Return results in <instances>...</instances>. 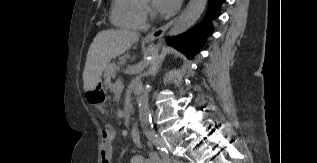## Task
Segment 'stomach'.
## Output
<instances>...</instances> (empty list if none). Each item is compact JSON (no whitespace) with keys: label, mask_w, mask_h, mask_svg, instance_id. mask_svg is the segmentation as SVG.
Wrapping results in <instances>:
<instances>
[{"label":"stomach","mask_w":317,"mask_h":163,"mask_svg":"<svg viewBox=\"0 0 317 163\" xmlns=\"http://www.w3.org/2000/svg\"><path fill=\"white\" fill-rule=\"evenodd\" d=\"M107 99V92L102 81L98 82L93 89L86 92V100L90 105L103 106Z\"/></svg>","instance_id":"obj_1"}]
</instances>
